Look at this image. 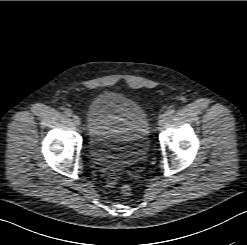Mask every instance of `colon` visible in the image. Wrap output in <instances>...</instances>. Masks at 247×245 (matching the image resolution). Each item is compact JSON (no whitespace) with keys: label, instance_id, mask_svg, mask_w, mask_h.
<instances>
[{"label":"colon","instance_id":"obj_1","mask_svg":"<svg viewBox=\"0 0 247 245\" xmlns=\"http://www.w3.org/2000/svg\"><path fill=\"white\" fill-rule=\"evenodd\" d=\"M121 193H122L123 196H126V197H127V196H130L131 193H132V188H131V186L128 185V184L122 185V186H121Z\"/></svg>","mask_w":247,"mask_h":245}]
</instances>
